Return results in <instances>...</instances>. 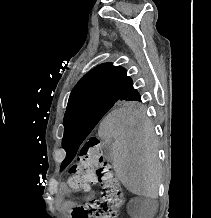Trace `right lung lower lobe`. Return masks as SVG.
Returning a JSON list of instances; mask_svg holds the SVG:
<instances>
[{
    "label": "right lung lower lobe",
    "mask_w": 211,
    "mask_h": 218,
    "mask_svg": "<svg viewBox=\"0 0 211 218\" xmlns=\"http://www.w3.org/2000/svg\"><path fill=\"white\" fill-rule=\"evenodd\" d=\"M122 97L126 98H140L139 93L136 89L133 88V84L131 83L123 92Z\"/></svg>",
    "instance_id": "obj_1"
}]
</instances>
